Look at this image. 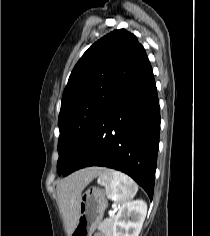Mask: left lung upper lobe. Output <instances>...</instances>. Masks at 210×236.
Returning a JSON list of instances; mask_svg holds the SVG:
<instances>
[{
    "label": "left lung upper lobe",
    "mask_w": 210,
    "mask_h": 236,
    "mask_svg": "<svg viewBox=\"0 0 210 236\" xmlns=\"http://www.w3.org/2000/svg\"><path fill=\"white\" fill-rule=\"evenodd\" d=\"M148 64L137 37L124 29L102 37L83 54L69 77L61 102L59 175L66 170L102 112Z\"/></svg>",
    "instance_id": "left-lung-upper-lobe-1"
}]
</instances>
